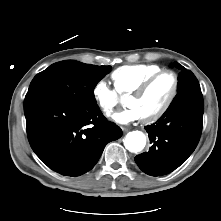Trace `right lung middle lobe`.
Listing matches in <instances>:
<instances>
[{
  "label": "right lung middle lobe",
  "mask_w": 221,
  "mask_h": 221,
  "mask_svg": "<svg viewBox=\"0 0 221 221\" xmlns=\"http://www.w3.org/2000/svg\"><path fill=\"white\" fill-rule=\"evenodd\" d=\"M110 68L74 60L54 63L34 77L25 99L47 97L79 106H97L93 90Z\"/></svg>",
  "instance_id": "right-lung-middle-lobe-1"
}]
</instances>
